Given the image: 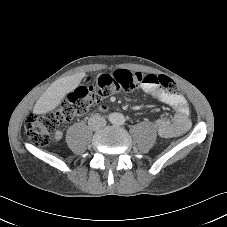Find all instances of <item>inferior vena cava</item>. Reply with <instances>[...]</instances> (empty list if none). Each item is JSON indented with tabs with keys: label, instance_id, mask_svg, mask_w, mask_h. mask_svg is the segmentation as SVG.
<instances>
[{
	"label": "inferior vena cava",
	"instance_id": "obj_1",
	"mask_svg": "<svg viewBox=\"0 0 227 227\" xmlns=\"http://www.w3.org/2000/svg\"><path fill=\"white\" fill-rule=\"evenodd\" d=\"M88 125L93 130H98L106 125V120L100 115H94L88 120Z\"/></svg>",
	"mask_w": 227,
	"mask_h": 227
}]
</instances>
